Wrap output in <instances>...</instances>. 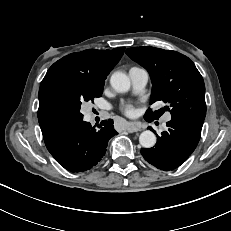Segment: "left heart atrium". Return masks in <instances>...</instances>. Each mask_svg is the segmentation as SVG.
I'll list each match as a JSON object with an SVG mask.
<instances>
[{
	"mask_svg": "<svg viewBox=\"0 0 231 231\" xmlns=\"http://www.w3.org/2000/svg\"><path fill=\"white\" fill-rule=\"evenodd\" d=\"M123 111L128 116H132L134 114V108L132 105L129 104L123 106Z\"/></svg>",
	"mask_w": 231,
	"mask_h": 231,
	"instance_id": "left-heart-atrium-1",
	"label": "left heart atrium"
}]
</instances>
